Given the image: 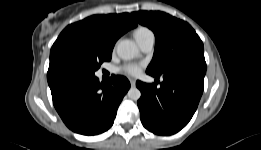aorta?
<instances>
[{
  "label": "aorta",
  "mask_w": 261,
  "mask_h": 150,
  "mask_svg": "<svg viewBox=\"0 0 261 150\" xmlns=\"http://www.w3.org/2000/svg\"><path fill=\"white\" fill-rule=\"evenodd\" d=\"M138 53L136 44L131 40H122L117 45V54L124 60L134 58ZM129 99L137 101L141 97V92L137 87H131L127 93Z\"/></svg>",
  "instance_id": "762f6f07"
}]
</instances>
